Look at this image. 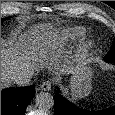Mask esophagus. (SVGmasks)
<instances>
[{
    "label": "esophagus",
    "instance_id": "esophagus-1",
    "mask_svg": "<svg viewBox=\"0 0 115 115\" xmlns=\"http://www.w3.org/2000/svg\"><path fill=\"white\" fill-rule=\"evenodd\" d=\"M52 83L50 81H45L41 84L40 89L42 91H49L51 90Z\"/></svg>",
    "mask_w": 115,
    "mask_h": 115
}]
</instances>
